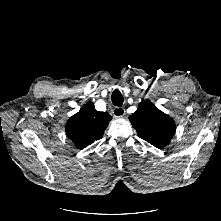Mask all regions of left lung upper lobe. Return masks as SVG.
I'll list each match as a JSON object with an SVG mask.
<instances>
[{"mask_svg": "<svg viewBox=\"0 0 221 221\" xmlns=\"http://www.w3.org/2000/svg\"><path fill=\"white\" fill-rule=\"evenodd\" d=\"M129 120L138 136L157 148L166 146L175 134L176 125L173 119L149 100L141 101Z\"/></svg>", "mask_w": 221, "mask_h": 221, "instance_id": "5c2ea615", "label": "left lung upper lobe"}]
</instances>
